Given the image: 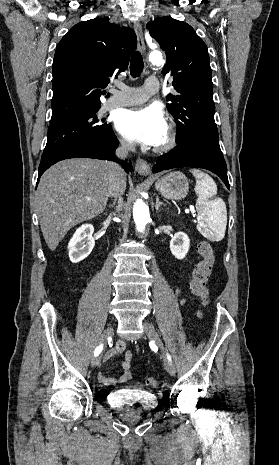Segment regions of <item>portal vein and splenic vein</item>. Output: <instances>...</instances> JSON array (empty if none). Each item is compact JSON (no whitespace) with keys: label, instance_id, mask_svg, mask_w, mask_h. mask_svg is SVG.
Here are the masks:
<instances>
[{"label":"portal vein and splenic vein","instance_id":"18ae733b","mask_svg":"<svg viewBox=\"0 0 279 465\" xmlns=\"http://www.w3.org/2000/svg\"><path fill=\"white\" fill-rule=\"evenodd\" d=\"M86 200L90 201V200H91V198L87 197V198H86Z\"/></svg>","mask_w":279,"mask_h":465}]
</instances>
